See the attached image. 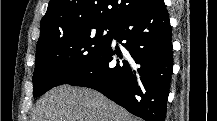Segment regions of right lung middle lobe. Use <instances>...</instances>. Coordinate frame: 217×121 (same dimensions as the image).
I'll return each mask as SVG.
<instances>
[{"label":"right lung middle lobe","instance_id":"1","mask_svg":"<svg viewBox=\"0 0 217 121\" xmlns=\"http://www.w3.org/2000/svg\"><path fill=\"white\" fill-rule=\"evenodd\" d=\"M117 24L88 25L36 48L34 97L87 71L110 44Z\"/></svg>","mask_w":217,"mask_h":121}]
</instances>
